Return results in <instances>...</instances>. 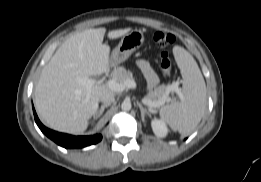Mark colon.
I'll list each match as a JSON object with an SVG mask.
<instances>
[{"instance_id":"5ec220e1","label":"colon","mask_w":261,"mask_h":182,"mask_svg":"<svg viewBox=\"0 0 261 182\" xmlns=\"http://www.w3.org/2000/svg\"><path fill=\"white\" fill-rule=\"evenodd\" d=\"M174 41L175 37L170 33L157 31L154 34V42L161 49H166L171 46ZM159 65L165 76H169L171 74V59L168 52L162 51Z\"/></svg>"}]
</instances>
